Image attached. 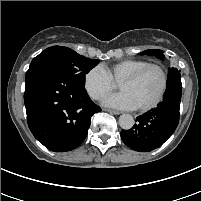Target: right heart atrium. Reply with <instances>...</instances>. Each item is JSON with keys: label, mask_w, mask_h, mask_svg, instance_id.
Returning <instances> with one entry per match:
<instances>
[{"label": "right heart atrium", "mask_w": 201, "mask_h": 201, "mask_svg": "<svg viewBox=\"0 0 201 201\" xmlns=\"http://www.w3.org/2000/svg\"><path fill=\"white\" fill-rule=\"evenodd\" d=\"M115 87L114 81L106 70L100 66L90 68L84 75V88L93 100H101Z\"/></svg>", "instance_id": "obj_1"}]
</instances>
